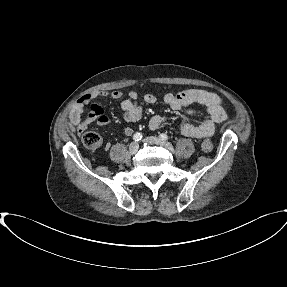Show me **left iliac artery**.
<instances>
[{
    "instance_id": "1",
    "label": "left iliac artery",
    "mask_w": 287,
    "mask_h": 287,
    "mask_svg": "<svg viewBox=\"0 0 287 287\" xmlns=\"http://www.w3.org/2000/svg\"><path fill=\"white\" fill-rule=\"evenodd\" d=\"M159 136L162 140H168L169 139L168 136L164 133L160 134Z\"/></svg>"
}]
</instances>
